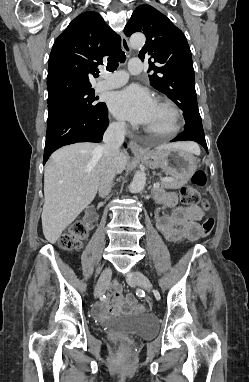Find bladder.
Segmentation results:
<instances>
[{
	"mask_svg": "<svg viewBox=\"0 0 249 382\" xmlns=\"http://www.w3.org/2000/svg\"><path fill=\"white\" fill-rule=\"evenodd\" d=\"M107 327L117 329L126 334H132L143 338L152 337L157 333V319L148 313L123 315L111 318Z\"/></svg>",
	"mask_w": 249,
	"mask_h": 382,
	"instance_id": "bladder-1",
	"label": "bladder"
}]
</instances>
